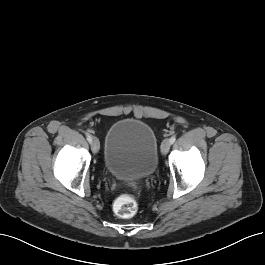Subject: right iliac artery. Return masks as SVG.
Here are the masks:
<instances>
[{"label": "right iliac artery", "instance_id": "1", "mask_svg": "<svg viewBox=\"0 0 265 265\" xmlns=\"http://www.w3.org/2000/svg\"><path fill=\"white\" fill-rule=\"evenodd\" d=\"M86 138H87V140H88L89 143L92 142V137H91L90 134H86Z\"/></svg>", "mask_w": 265, "mask_h": 265}]
</instances>
